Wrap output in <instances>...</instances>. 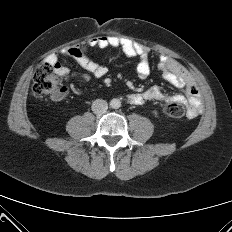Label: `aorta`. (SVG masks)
I'll return each mask as SVG.
<instances>
[{"instance_id":"1","label":"aorta","mask_w":232,"mask_h":232,"mask_svg":"<svg viewBox=\"0 0 232 232\" xmlns=\"http://www.w3.org/2000/svg\"><path fill=\"white\" fill-rule=\"evenodd\" d=\"M110 106H111V108H113V109H118V108H120L121 107V101L119 100V99H112L111 101H110Z\"/></svg>"}]
</instances>
